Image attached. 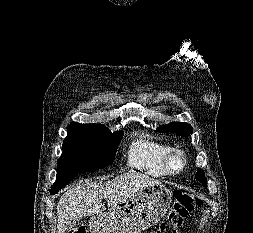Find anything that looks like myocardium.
<instances>
[{"label": "myocardium", "instance_id": "myocardium-1", "mask_svg": "<svg viewBox=\"0 0 253 233\" xmlns=\"http://www.w3.org/2000/svg\"><path fill=\"white\" fill-rule=\"evenodd\" d=\"M167 174H179L187 165V156L183 151H170L165 162Z\"/></svg>", "mask_w": 253, "mask_h": 233}]
</instances>
